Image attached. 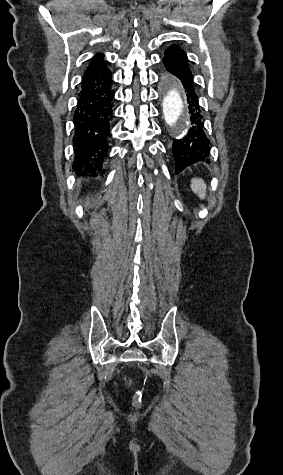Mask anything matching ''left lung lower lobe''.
<instances>
[{"instance_id": "0a47b994", "label": "left lung lower lobe", "mask_w": 283, "mask_h": 475, "mask_svg": "<svg viewBox=\"0 0 283 475\" xmlns=\"http://www.w3.org/2000/svg\"><path fill=\"white\" fill-rule=\"evenodd\" d=\"M162 61L166 69L182 82L192 125L187 135L181 140H175L172 145L177 174L195 162H209L210 140L205 132L203 115L198 103L196 85L188 67V59L174 56L166 50Z\"/></svg>"}]
</instances>
